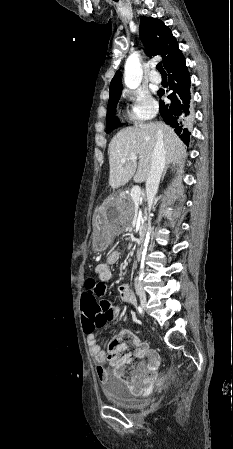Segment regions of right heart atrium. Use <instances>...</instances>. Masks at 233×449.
I'll use <instances>...</instances> for the list:
<instances>
[{
    "label": "right heart atrium",
    "mask_w": 233,
    "mask_h": 449,
    "mask_svg": "<svg viewBox=\"0 0 233 449\" xmlns=\"http://www.w3.org/2000/svg\"><path fill=\"white\" fill-rule=\"evenodd\" d=\"M125 95L132 102L129 116L133 121L143 123L156 116L158 104L146 90L129 89Z\"/></svg>",
    "instance_id": "1"
}]
</instances>
